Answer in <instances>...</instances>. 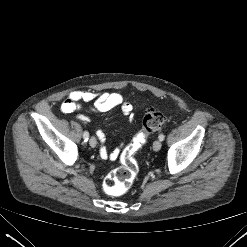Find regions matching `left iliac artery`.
<instances>
[{
	"label": "left iliac artery",
	"mask_w": 247,
	"mask_h": 247,
	"mask_svg": "<svg viewBox=\"0 0 247 247\" xmlns=\"http://www.w3.org/2000/svg\"><path fill=\"white\" fill-rule=\"evenodd\" d=\"M158 138H159L160 141H163L164 138H165V136H164V134H160V135L158 136Z\"/></svg>",
	"instance_id": "44dca946"
}]
</instances>
